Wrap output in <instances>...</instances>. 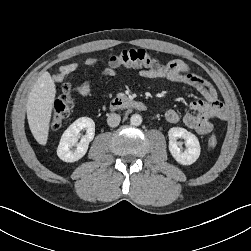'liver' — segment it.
<instances>
[{
  "mask_svg": "<svg viewBox=\"0 0 251 251\" xmlns=\"http://www.w3.org/2000/svg\"><path fill=\"white\" fill-rule=\"evenodd\" d=\"M56 95V86L49 72H44L33 85L27 100L29 128L40 145H46Z\"/></svg>",
  "mask_w": 251,
  "mask_h": 251,
  "instance_id": "1",
  "label": "liver"
}]
</instances>
